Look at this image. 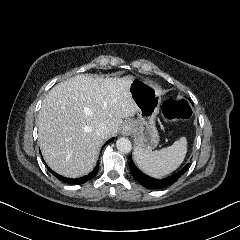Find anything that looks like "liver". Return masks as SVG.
<instances>
[{
  "label": "liver",
  "instance_id": "1",
  "mask_svg": "<svg viewBox=\"0 0 240 240\" xmlns=\"http://www.w3.org/2000/svg\"><path fill=\"white\" fill-rule=\"evenodd\" d=\"M133 75L92 77L78 74L56 84L39 110L38 140L46 164L67 178L88 175L96 166L104 139L100 125L113 137L123 118L134 114L129 93Z\"/></svg>",
  "mask_w": 240,
  "mask_h": 240
}]
</instances>
